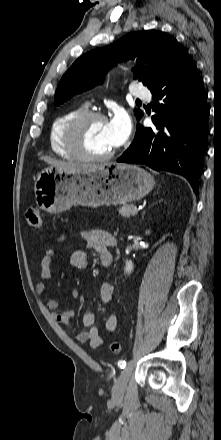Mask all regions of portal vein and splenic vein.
<instances>
[{
	"label": "portal vein and splenic vein",
	"mask_w": 221,
	"mask_h": 440,
	"mask_svg": "<svg viewBox=\"0 0 221 440\" xmlns=\"http://www.w3.org/2000/svg\"><path fill=\"white\" fill-rule=\"evenodd\" d=\"M138 212H139V209H138L137 207H135V208L132 210V215H136Z\"/></svg>",
	"instance_id": "1"
}]
</instances>
